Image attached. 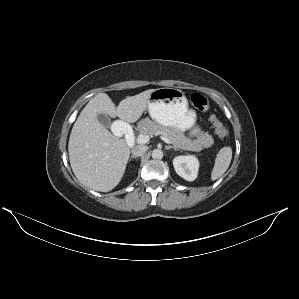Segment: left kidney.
<instances>
[{
	"instance_id": "1",
	"label": "left kidney",
	"mask_w": 299,
	"mask_h": 299,
	"mask_svg": "<svg viewBox=\"0 0 299 299\" xmlns=\"http://www.w3.org/2000/svg\"><path fill=\"white\" fill-rule=\"evenodd\" d=\"M176 173L186 181H194L197 178L199 161L195 156H177L173 159Z\"/></svg>"
}]
</instances>
